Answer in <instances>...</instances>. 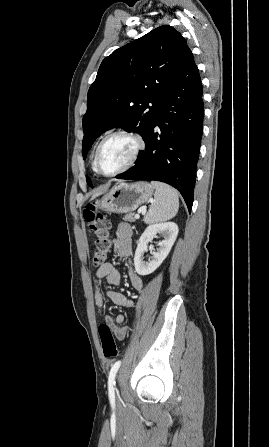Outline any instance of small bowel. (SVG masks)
Returning <instances> with one entry per match:
<instances>
[{"instance_id": "c3829d8e", "label": "small bowel", "mask_w": 269, "mask_h": 447, "mask_svg": "<svg viewBox=\"0 0 269 447\" xmlns=\"http://www.w3.org/2000/svg\"><path fill=\"white\" fill-rule=\"evenodd\" d=\"M132 230L127 224H120L115 231V238L113 242V251L114 253L121 259L127 262L130 261L133 252V244H132ZM130 283L133 289L137 291H142L144 289L143 280L137 276L131 270L129 271ZM106 280L107 283L111 285H120L121 284V275L119 271L116 269L113 263L107 262L101 265L95 273L94 278V298L95 303L98 309L103 308L104 299H110L115 305L125 308L134 307V301L128 298L126 295L120 292L112 291V290H104L100 289L101 281ZM106 319L109 321L108 326L111 329L116 328L115 336L118 340H123L127 335V329L125 327H121L120 325L124 321L123 314H117L115 316L107 315Z\"/></svg>"}]
</instances>
